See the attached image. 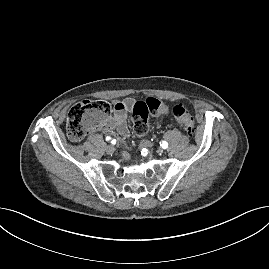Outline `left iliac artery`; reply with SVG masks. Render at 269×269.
Wrapping results in <instances>:
<instances>
[{"label": "left iliac artery", "instance_id": "obj_1", "mask_svg": "<svg viewBox=\"0 0 269 269\" xmlns=\"http://www.w3.org/2000/svg\"><path fill=\"white\" fill-rule=\"evenodd\" d=\"M160 146L163 148V149H166L168 148V143L166 141H161L160 142Z\"/></svg>", "mask_w": 269, "mask_h": 269}]
</instances>
